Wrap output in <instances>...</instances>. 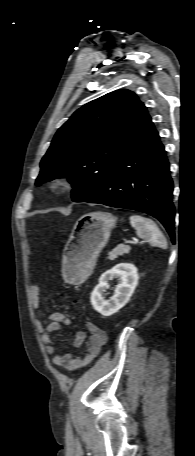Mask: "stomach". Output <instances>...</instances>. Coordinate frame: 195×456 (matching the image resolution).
Masks as SVG:
<instances>
[{"instance_id":"obj_1","label":"stomach","mask_w":195,"mask_h":456,"mask_svg":"<svg viewBox=\"0 0 195 456\" xmlns=\"http://www.w3.org/2000/svg\"><path fill=\"white\" fill-rule=\"evenodd\" d=\"M115 225L116 217L101 211L87 213L76 221L64 248L63 271L70 283L79 284L92 273Z\"/></svg>"}]
</instances>
